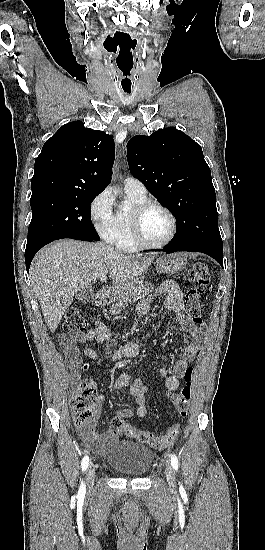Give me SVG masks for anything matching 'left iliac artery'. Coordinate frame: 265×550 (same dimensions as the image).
Masks as SVG:
<instances>
[{
    "label": "left iliac artery",
    "instance_id": "obj_1",
    "mask_svg": "<svg viewBox=\"0 0 265 550\" xmlns=\"http://www.w3.org/2000/svg\"><path fill=\"white\" fill-rule=\"evenodd\" d=\"M171 465L175 471L178 470L179 467V461L176 455H171Z\"/></svg>",
    "mask_w": 265,
    "mask_h": 550
}]
</instances>
